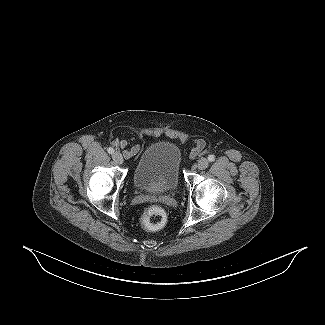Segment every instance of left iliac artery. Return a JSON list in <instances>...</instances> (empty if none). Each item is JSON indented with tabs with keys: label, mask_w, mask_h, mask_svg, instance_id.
<instances>
[{
	"label": "left iliac artery",
	"mask_w": 325,
	"mask_h": 325,
	"mask_svg": "<svg viewBox=\"0 0 325 325\" xmlns=\"http://www.w3.org/2000/svg\"><path fill=\"white\" fill-rule=\"evenodd\" d=\"M208 160H209L210 162H213V161L215 160V156H214L213 154L209 155V156H208Z\"/></svg>",
	"instance_id": "44dca946"
}]
</instances>
